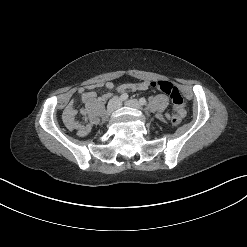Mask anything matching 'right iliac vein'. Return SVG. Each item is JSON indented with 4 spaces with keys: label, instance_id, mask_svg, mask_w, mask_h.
Wrapping results in <instances>:
<instances>
[{
    "label": "right iliac vein",
    "instance_id": "1",
    "mask_svg": "<svg viewBox=\"0 0 247 247\" xmlns=\"http://www.w3.org/2000/svg\"><path fill=\"white\" fill-rule=\"evenodd\" d=\"M120 107V99L118 97H113L107 105V109L105 111L104 119H108L110 115Z\"/></svg>",
    "mask_w": 247,
    "mask_h": 247
}]
</instances>
